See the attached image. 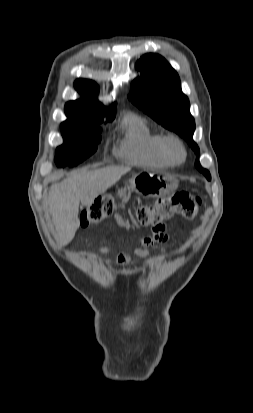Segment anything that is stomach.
Here are the masks:
<instances>
[{
    "instance_id": "obj_1",
    "label": "stomach",
    "mask_w": 253,
    "mask_h": 413,
    "mask_svg": "<svg viewBox=\"0 0 253 413\" xmlns=\"http://www.w3.org/2000/svg\"><path fill=\"white\" fill-rule=\"evenodd\" d=\"M178 187V181L172 176H162L152 172H139L132 176L129 183L118 191L124 198L135 192L145 198H157L172 194Z\"/></svg>"
}]
</instances>
